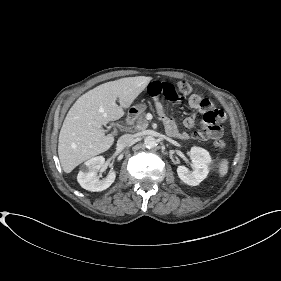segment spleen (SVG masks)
<instances>
[{
  "label": "spleen",
  "mask_w": 281,
  "mask_h": 281,
  "mask_svg": "<svg viewBox=\"0 0 281 281\" xmlns=\"http://www.w3.org/2000/svg\"><path fill=\"white\" fill-rule=\"evenodd\" d=\"M228 160L227 159H222L219 163V168H218V172H219V176L220 177H224L227 172H228Z\"/></svg>",
  "instance_id": "3e777b00"
}]
</instances>
